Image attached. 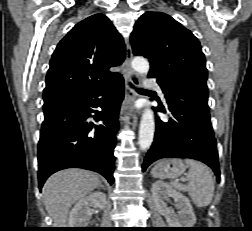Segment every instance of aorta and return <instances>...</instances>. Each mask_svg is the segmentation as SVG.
<instances>
[{
  "label": "aorta",
  "instance_id": "1",
  "mask_svg": "<svg viewBox=\"0 0 252 231\" xmlns=\"http://www.w3.org/2000/svg\"><path fill=\"white\" fill-rule=\"evenodd\" d=\"M132 68L141 75H147L149 72V63L143 57H135L131 62ZM155 132L154 113L151 109H145L139 128L138 144L141 150L145 151L150 148Z\"/></svg>",
  "mask_w": 252,
  "mask_h": 231
}]
</instances>
